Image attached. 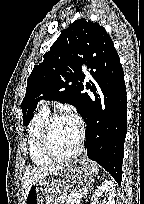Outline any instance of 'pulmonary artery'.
Returning <instances> with one entry per match:
<instances>
[{"mask_svg": "<svg viewBox=\"0 0 144 204\" xmlns=\"http://www.w3.org/2000/svg\"><path fill=\"white\" fill-rule=\"evenodd\" d=\"M87 73V71H85ZM47 103H45V107H46ZM48 108V107H47Z\"/></svg>", "mask_w": 144, "mask_h": 204, "instance_id": "1", "label": "pulmonary artery"}]
</instances>
